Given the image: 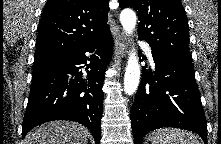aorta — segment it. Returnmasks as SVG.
<instances>
[{
    "instance_id": "762f6f07",
    "label": "aorta",
    "mask_w": 221,
    "mask_h": 144,
    "mask_svg": "<svg viewBox=\"0 0 221 144\" xmlns=\"http://www.w3.org/2000/svg\"><path fill=\"white\" fill-rule=\"evenodd\" d=\"M120 22L125 32L130 35L136 26V14L131 9H125L120 14ZM140 81V65L139 59L134 49L130 52L125 75H124V91L127 95H132L138 88Z\"/></svg>"
}]
</instances>
